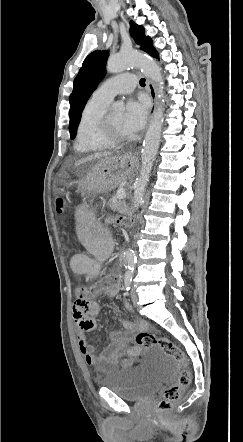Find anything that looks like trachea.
Instances as JSON below:
<instances>
[{"instance_id": "1", "label": "trachea", "mask_w": 243, "mask_h": 442, "mask_svg": "<svg viewBox=\"0 0 243 442\" xmlns=\"http://www.w3.org/2000/svg\"><path fill=\"white\" fill-rule=\"evenodd\" d=\"M140 85H141V86H145V79H144V78H141V79H140Z\"/></svg>"}]
</instances>
